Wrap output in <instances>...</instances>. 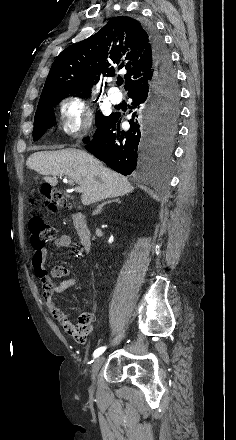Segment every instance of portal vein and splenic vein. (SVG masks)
<instances>
[{
	"label": "portal vein and splenic vein",
	"mask_w": 236,
	"mask_h": 440,
	"mask_svg": "<svg viewBox=\"0 0 236 440\" xmlns=\"http://www.w3.org/2000/svg\"><path fill=\"white\" fill-rule=\"evenodd\" d=\"M64 182H69L70 184H73V181H68L66 178L63 180ZM75 190L77 191V192H82V189L81 188H79V187H77V188H75Z\"/></svg>",
	"instance_id": "18ae733b"
}]
</instances>
